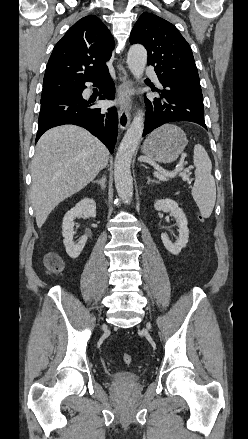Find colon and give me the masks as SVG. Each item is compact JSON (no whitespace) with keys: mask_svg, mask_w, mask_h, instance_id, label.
<instances>
[{"mask_svg":"<svg viewBox=\"0 0 248 439\" xmlns=\"http://www.w3.org/2000/svg\"><path fill=\"white\" fill-rule=\"evenodd\" d=\"M198 217L201 221L203 220V217L200 214H198ZM44 264L46 270L51 274H59L64 268L62 259L55 253L46 254ZM122 361L124 364L130 365L132 363V356L125 353L122 356Z\"/></svg>","mask_w":248,"mask_h":439,"instance_id":"obj_1","label":"colon"}]
</instances>
